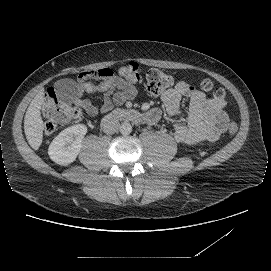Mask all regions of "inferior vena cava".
I'll list each match as a JSON object with an SVG mask.
<instances>
[{
	"label": "inferior vena cava",
	"instance_id": "1",
	"mask_svg": "<svg viewBox=\"0 0 271 271\" xmlns=\"http://www.w3.org/2000/svg\"><path fill=\"white\" fill-rule=\"evenodd\" d=\"M101 125L103 126V131L106 134H113V133L117 132L120 128L119 120L113 116H106L102 120Z\"/></svg>",
	"mask_w": 271,
	"mask_h": 271
}]
</instances>
